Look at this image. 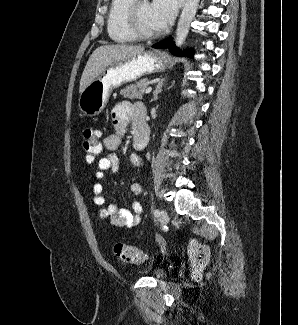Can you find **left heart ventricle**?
Masks as SVG:
<instances>
[{
  "label": "left heart ventricle",
  "instance_id": "b2bd125f",
  "mask_svg": "<svg viewBox=\"0 0 298 325\" xmlns=\"http://www.w3.org/2000/svg\"><path fill=\"white\" fill-rule=\"evenodd\" d=\"M136 20L138 28L145 33H157L162 31L154 11V3L147 1L137 9Z\"/></svg>",
  "mask_w": 298,
  "mask_h": 325
}]
</instances>
